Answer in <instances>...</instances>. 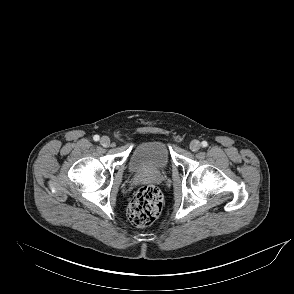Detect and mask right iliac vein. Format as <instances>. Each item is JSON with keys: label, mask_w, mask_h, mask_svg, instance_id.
<instances>
[{"label": "right iliac vein", "mask_w": 294, "mask_h": 294, "mask_svg": "<svg viewBox=\"0 0 294 294\" xmlns=\"http://www.w3.org/2000/svg\"><path fill=\"white\" fill-rule=\"evenodd\" d=\"M100 143L103 147H108L110 145V138L107 136H103L100 139Z\"/></svg>", "instance_id": "right-iliac-vein-1"}]
</instances>
